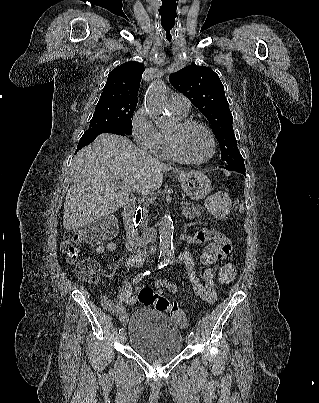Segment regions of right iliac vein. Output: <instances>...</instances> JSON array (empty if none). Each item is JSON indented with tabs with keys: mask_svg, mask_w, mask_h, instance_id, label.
<instances>
[{
	"mask_svg": "<svg viewBox=\"0 0 319 403\" xmlns=\"http://www.w3.org/2000/svg\"><path fill=\"white\" fill-rule=\"evenodd\" d=\"M119 340L121 343H124L126 341V332L123 331L120 336H119Z\"/></svg>",
	"mask_w": 319,
	"mask_h": 403,
	"instance_id": "obj_1",
	"label": "right iliac vein"
}]
</instances>
